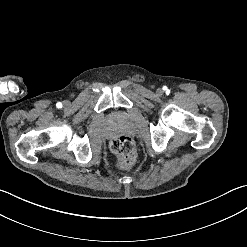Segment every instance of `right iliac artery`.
Instances as JSON below:
<instances>
[{
  "mask_svg": "<svg viewBox=\"0 0 247 247\" xmlns=\"http://www.w3.org/2000/svg\"><path fill=\"white\" fill-rule=\"evenodd\" d=\"M56 106H57V108H61V107H62V103H61V102H58V103L56 104Z\"/></svg>",
  "mask_w": 247,
  "mask_h": 247,
  "instance_id": "82829eb1",
  "label": "right iliac artery"
}]
</instances>
